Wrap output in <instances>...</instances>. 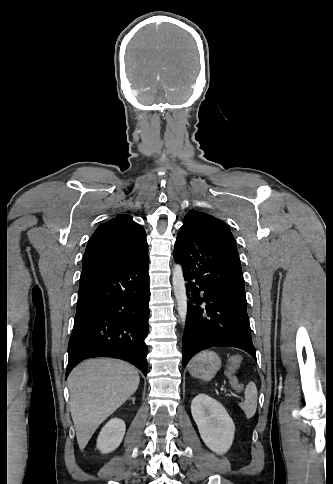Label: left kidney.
<instances>
[{
    "instance_id": "left-kidney-1",
    "label": "left kidney",
    "mask_w": 333,
    "mask_h": 484,
    "mask_svg": "<svg viewBox=\"0 0 333 484\" xmlns=\"http://www.w3.org/2000/svg\"><path fill=\"white\" fill-rule=\"evenodd\" d=\"M191 413L206 446L218 455L225 454L232 445L235 426L223 405L201 393L192 400Z\"/></svg>"
}]
</instances>
